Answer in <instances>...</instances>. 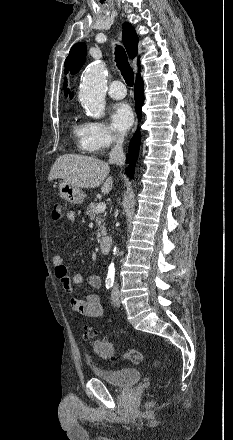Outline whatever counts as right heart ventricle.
I'll return each mask as SVG.
<instances>
[{"mask_svg": "<svg viewBox=\"0 0 233 440\" xmlns=\"http://www.w3.org/2000/svg\"><path fill=\"white\" fill-rule=\"evenodd\" d=\"M71 132L73 136L77 139L79 147L83 151H89V147L86 139V127L85 123H80L77 119H74L71 125Z\"/></svg>", "mask_w": 233, "mask_h": 440, "instance_id": "obj_1", "label": "right heart ventricle"}]
</instances>
